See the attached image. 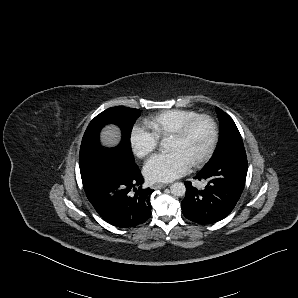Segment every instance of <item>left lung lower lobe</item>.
Segmentation results:
<instances>
[{
    "mask_svg": "<svg viewBox=\"0 0 298 298\" xmlns=\"http://www.w3.org/2000/svg\"><path fill=\"white\" fill-rule=\"evenodd\" d=\"M247 165L245 150L235 151L197 174L196 179L207 181L204 190L185 182L186 195L181 203L184 216L199 224H212L225 218L244 189Z\"/></svg>",
    "mask_w": 298,
    "mask_h": 298,
    "instance_id": "0a47b994",
    "label": "left lung lower lobe"
}]
</instances>
